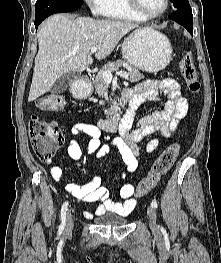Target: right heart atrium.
Instances as JSON below:
<instances>
[{"label":"right heart atrium","instance_id":"right-heart-atrium-1","mask_svg":"<svg viewBox=\"0 0 221 263\" xmlns=\"http://www.w3.org/2000/svg\"><path fill=\"white\" fill-rule=\"evenodd\" d=\"M90 11L94 15H103L105 0H85Z\"/></svg>","mask_w":221,"mask_h":263}]
</instances>
